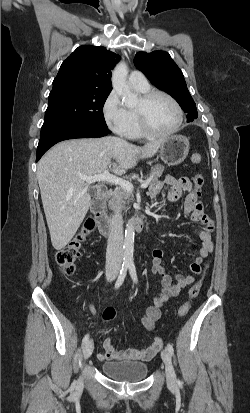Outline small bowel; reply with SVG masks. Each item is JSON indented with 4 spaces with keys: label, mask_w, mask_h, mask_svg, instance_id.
<instances>
[{
    "label": "small bowel",
    "mask_w": 250,
    "mask_h": 413,
    "mask_svg": "<svg viewBox=\"0 0 250 413\" xmlns=\"http://www.w3.org/2000/svg\"><path fill=\"white\" fill-rule=\"evenodd\" d=\"M166 190V197L169 201H176L182 197L185 192H189L185 199L183 212L184 216L191 221L201 222L204 225L203 229L197 230V236L200 240L198 254L189 264V269L194 274L201 272V264L209 253L213 250L212 232L214 230L213 222L204 213L202 204L190 192L191 183L187 177L175 178L171 175L165 177L164 180L155 182L150 187V196L156 197L163 190ZM163 251L156 248L153 251L151 260L152 273L157 277L160 288V294L156 297L153 306H150L141 319L142 326L148 330H153L156 321L161 317V306L171 297L179 295V293L194 282L192 275L171 274L167 271L163 263ZM90 310L96 314V309L90 305ZM104 352L98 354L99 360L111 361H147L153 358L159 351L152 345L141 349L116 350L109 338H104Z\"/></svg>",
    "instance_id": "small-bowel-1"
}]
</instances>
